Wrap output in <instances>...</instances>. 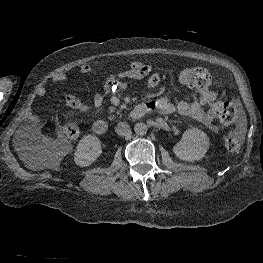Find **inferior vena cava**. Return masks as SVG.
Wrapping results in <instances>:
<instances>
[{"label":"inferior vena cava","mask_w":263,"mask_h":263,"mask_svg":"<svg viewBox=\"0 0 263 263\" xmlns=\"http://www.w3.org/2000/svg\"><path fill=\"white\" fill-rule=\"evenodd\" d=\"M115 130L119 136H125L131 132L130 126L126 122L118 123Z\"/></svg>","instance_id":"obj_1"}]
</instances>
